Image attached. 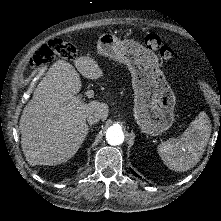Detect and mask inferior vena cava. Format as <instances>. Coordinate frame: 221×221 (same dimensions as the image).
Returning <instances> with one entry per match:
<instances>
[{
  "label": "inferior vena cava",
  "mask_w": 221,
  "mask_h": 221,
  "mask_svg": "<svg viewBox=\"0 0 221 221\" xmlns=\"http://www.w3.org/2000/svg\"><path fill=\"white\" fill-rule=\"evenodd\" d=\"M102 118L101 113L92 112L86 116V120L90 125L98 123Z\"/></svg>",
  "instance_id": "1"
}]
</instances>
